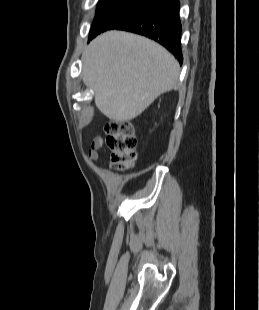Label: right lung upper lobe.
<instances>
[{
  "instance_id": "cb5924a9",
  "label": "right lung upper lobe",
  "mask_w": 259,
  "mask_h": 310,
  "mask_svg": "<svg viewBox=\"0 0 259 310\" xmlns=\"http://www.w3.org/2000/svg\"><path fill=\"white\" fill-rule=\"evenodd\" d=\"M107 1H110V0H99L98 4L103 3V2H107Z\"/></svg>"
}]
</instances>
